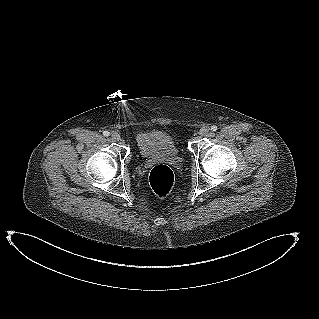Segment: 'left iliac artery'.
Segmentation results:
<instances>
[{"mask_svg": "<svg viewBox=\"0 0 319 319\" xmlns=\"http://www.w3.org/2000/svg\"><path fill=\"white\" fill-rule=\"evenodd\" d=\"M211 130L212 131H216L217 130V126L216 125L211 126Z\"/></svg>", "mask_w": 319, "mask_h": 319, "instance_id": "obj_1", "label": "left iliac artery"}]
</instances>
